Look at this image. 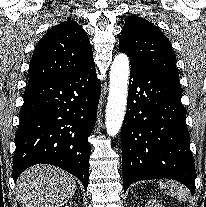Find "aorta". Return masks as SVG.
<instances>
[{
  "label": "aorta",
  "instance_id": "obj_1",
  "mask_svg": "<svg viewBox=\"0 0 206 207\" xmlns=\"http://www.w3.org/2000/svg\"><path fill=\"white\" fill-rule=\"evenodd\" d=\"M129 59L119 53L115 56L110 70L109 96L105 124L107 134L114 137L121 129L127 104Z\"/></svg>",
  "mask_w": 206,
  "mask_h": 207
}]
</instances>
